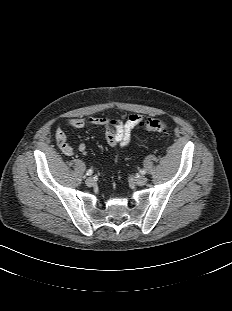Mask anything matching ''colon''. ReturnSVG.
Listing matches in <instances>:
<instances>
[{
  "instance_id": "colon-1",
  "label": "colon",
  "mask_w": 232,
  "mask_h": 311,
  "mask_svg": "<svg viewBox=\"0 0 232 311\" xmlns=\"http://www.w3.org/2000/svg\"><path fill=\"white\" fill-rule=\"evenodd\" d=\"M143 127L146 131L151 133H167L168 125L165 121L159 118L148 119L144 122Z\"/></svg>"
}]
</instances>
